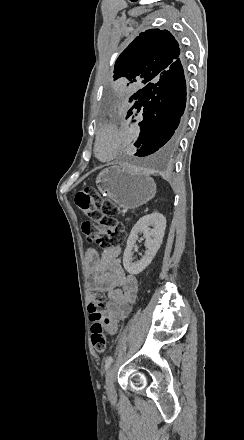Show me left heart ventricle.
I'll return each instance as SVG.
<instances>
[{
	"instance_id": "1",
	"label": "left heart ventricle",
	"mask_w": 244,
	"mask_h": 440,
	"mask_svg": "<svg viewBox=\"0 0 244 440\" xmlns=\"http://www.w3.org/2000/svg\"><path fill=\"white\" fill-rule=\"evenodd\" d=\"M106 144H107V138L106 137H102L101 140H100V147H101V150L103 152L105 150Z\"/></svg>"
}]
</instances>
